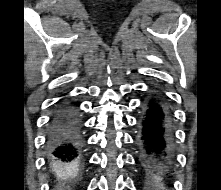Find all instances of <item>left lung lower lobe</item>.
Returning a JSON list of instances; mask_svg holds the SVG:
<instances>
[{"label":"left lung lower lobe","mask_w":221,"mask_h":190,"mask_svg":"<svg viewBox=\"0 0 221 190\" xmlns=\"http://www.w3.org/2000/svg\"><path fill=\"white\" fill-rule=\"evenodd\" d=\"M170 142L168 108L160 95L153 93L146 103L139 138L142 166L147 173L168 175L173 158Z\"/></svg>","instance_id":"left-lung-lower-lobe-1"}]
</instances>
